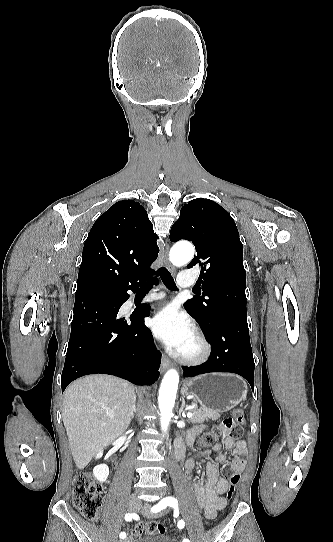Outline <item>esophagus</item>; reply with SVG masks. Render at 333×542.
Listing matches in <instances>:
<instances>
[{
	"mask_svg": "<svg viewBox=\"0 0 333 542\" xmlns=\"http://www.w3.org/2000/svg\"><path fill=\"white\" fill-rule=\"evenodd\" d=\"M168 252H169V245L167 244L166 247H165L164 255L162 256L163 257V262H164L165 266L168 268V270H170V272L174 273L175 269L171 265V263L169 262ZM170 366H171L170 360L165 355H162L161 370H166Z\"/></svg>",
	"mask_w": 333,
	"mask_h": 542,
	"instance_id": "1",
	"label": "esophagus"
}]
</instances>
